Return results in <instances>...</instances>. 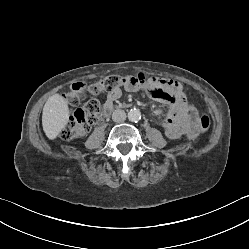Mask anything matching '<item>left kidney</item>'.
Wrapping results in <instances>:
<instances>
[{
  "mask_svg": "<svg viewBox=\"0 0 249 249\" xmlns=\"http://www.w3.org/2000/svg\"><path fill=\"white\" fill-rule=\"evenodd\" d=\"M152 116L154 117V118H157V119H159V118H162L163 116H164V109L162 108V107H159V106H157V107H154L153 109H152Z\"/></svg>",
  "mask_w": 249,
  "mask_h": 249,
  "instance_id": "1",
  "label": "left kidney"
}]
</instances>
